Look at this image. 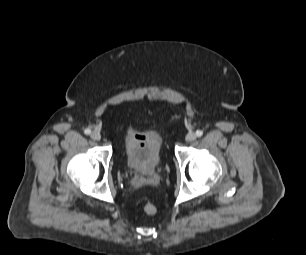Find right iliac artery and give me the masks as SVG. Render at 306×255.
<instances>
[{"label": "right iliac artery", "mask_w": 306, "mask_h": 255, "mask_svg": "<svg viewBox=\"0 0 306 255\" xmlns=\"http://www.w3.org/2000/svg\"><path fill=\"white\" fill-rule=\"evenodd\" d=\"M84 133H85L86 135H88V134L91 133V130H90V129H85Z\"/></svg>", "instance_id": "82829eb1"}]
</instances>
